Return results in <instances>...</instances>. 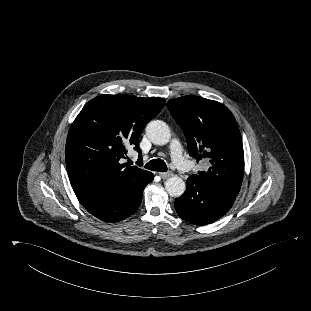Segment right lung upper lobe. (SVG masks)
Instances as JSON below:
<instances>
[{
  "instance_id": "right-lung-upper-lobe-1",
  "label": "right lung upper lobe",
  "mask_w": 311,
  "mask_h": 311,
  "mask_svg": "<svg viewBox=\"0 0 311 311\" xmlns=\"http://www.w3.org/2000/svg\"><path fill=\"white\" fill-rule=\"evenodd\" d=\"M164 105L162 98L130 95H100L90 100L72 123L66 141L73 190L128 195L146 183L151 172L130 167L121 159L129 147L141 155L139 137Z\"/></svg>"
}]
</instances>
